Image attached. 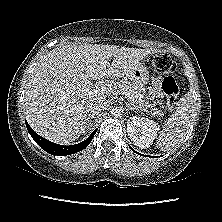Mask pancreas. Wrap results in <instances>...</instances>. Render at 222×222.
<instances>
[{
  "mask_svg": "<svg viewBox=\"0 0 222 222\" xmlns=\"http://www.w3.org/2000/svg\"><path fill=\"white\" fill-rule=\"evenodd\" d=\"M120 91L125 94H129L128 99L130 102L137 108V109H144L145 108V88L136 86L133 83L125 81L119 84ZM152 115L156 116H163L164 113L158 110L157 108H153L151 110Z\"/></svg>",
  "mask_w": 222,
  "mask_h": 222,
  "instance_id": "1",
  "label": "pancreas"
}]
</instances>
